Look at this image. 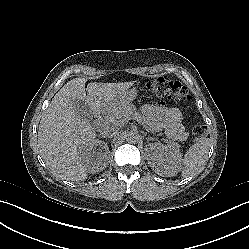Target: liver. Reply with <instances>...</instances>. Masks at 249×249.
Here are the masks:
<instances>
[{
  "instance_id": "obj_1",
  "label": "liver",
  "mask_w": 249,
  "mask_h": 249,
  "mask_svg": "<svg viewBox=\"0 0 249 249\" xmlns=\"http://www.w3.org/2000/svg\"><path fill=\"white\" fill-rule=\"evenodd\" d=\"M74 79L53 98L39 125L38 143L42 158L51 166L72 171L83 178L89 170L97 133L90 115L113 111L130 84L88 83ZM87 92V94H86Z\"/></svg>"
}]
</instances>
